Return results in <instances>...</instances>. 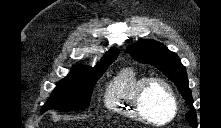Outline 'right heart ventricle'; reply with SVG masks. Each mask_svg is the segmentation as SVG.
<instances>
[{
	"mask_svg": "<svg viewBox=\"0 0 221 128\" xmlns=\"http://www.w3.org/2000/svg\"><path fill=\"white\" fill-rule=\"evenodd\" d=\"M148 78L134 66L120 69L105 90V106L117 116L140 120L134 106V95L139 85Z\"/></svg>",
	"mask_w": 221,
	"mask_h": 128,
	"instance_id": "obj_1",
	"label": "right heart ventricle"
}]
</instances>
